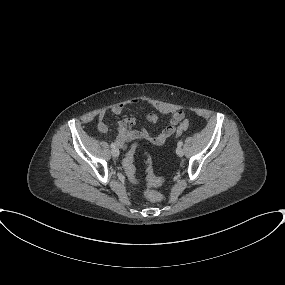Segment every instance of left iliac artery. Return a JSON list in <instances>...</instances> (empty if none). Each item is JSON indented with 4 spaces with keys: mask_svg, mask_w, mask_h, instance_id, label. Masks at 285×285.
I'll use <instances>...</instances> for the list:
<instances>
[{
    "mask_svg": "<svg viewBox=\"0 0 285 285\" xmlns=\"http://www.w3.org/2000/svg\"><path fill=\"white\" fill-rule=\"evenodd\" d=\"M183 145V142L182 141H179L178 143H177V146L178 147H181Z\"/></svg>",
    "mask_w": 285,
    "mask_h": 285,
    "instance_id": "44dca946",
    "label": "left iliac artery"
}]
</instances>
